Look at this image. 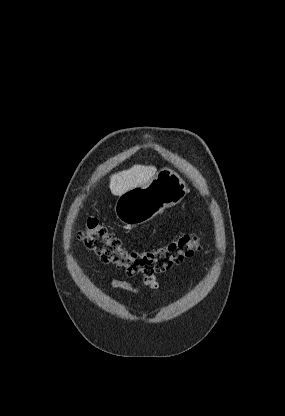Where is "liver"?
Here are the masks:
<instances>
[{
	"label": "liver",
	"mask_w": 285,
	"mask_h": 416,
	"mask_svg": "<svg viewBox=\"0 0 285 416\" xmlns=\"http://www.w3.org/2000/svg\"><path fill=\"white\" fill-rule=\"evenodd\" d=\"M157 168L155 166H133L129 170H123L118 174H113L110 178L109 188L113 196H122L128 190L145 186L151 182V178L155 176Z\"/></svg>",
	"instance_id": "6515ba94"
}]
</instances>
